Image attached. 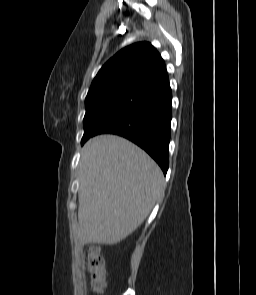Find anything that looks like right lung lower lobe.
Here are the masks:
<instances>
[{"instance_id":"1","label":"right lung lower lobe","mask_w":256,"mask_h":295,"mask_svg":"<svg viewBox=\"0 0 256 295\" xmlns=\"http://www.w3.org/2000/svg\"><path fill=\"white\" fill-rule=\"evenodd\" d=\"M171 119L172 92L166 73L138 94L94 135L112 133L131 140L144 149L166 174L169 167ZM92 136L82 140V144Z\"/></svg>"}]
</instances>
